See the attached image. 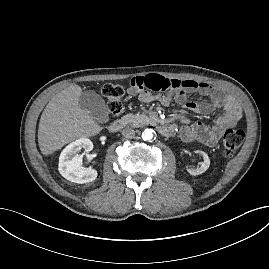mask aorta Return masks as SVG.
<instances>
[{
	"mask_svg": "<svg viewBox=\"0 0 269 269\" xmlns=\"http://www.w3.org/2000/svg\"><path fill=\"white\" fill-rule=\"evenodd\" d=\"M142 139L145 141H151L153 139V130L150 128L145 129L142 132Z\"/></svg>",
	"mask_w": 269,
	"mask_h": 269,
	"instance_id": "obj_1",
	"label": "aorta"
}]
</instances>
